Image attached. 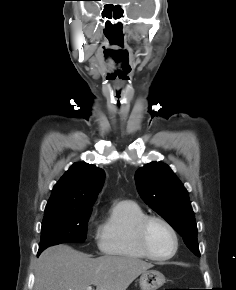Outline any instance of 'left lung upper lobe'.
<instances>
[{"label": "left lung upper lobe", "mask_w": 236, "mask_h": 290, "mask_svg": "<svg viewBox=\"0 0 236 290\" xmlns=\"http://www.w3.org/2000/svg\"><path fill=\"white\" fill-rule=\"evenodd\" d=\"M136 184L144 202L164 218L199 257L197 226L188 192L171 168L160 162L148 163L137 170Z\"/></svg>", "instance_id": "left-lung-upper-lobe-1"}]
</instances>
